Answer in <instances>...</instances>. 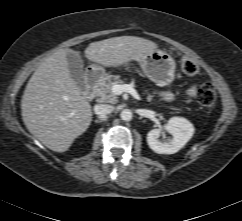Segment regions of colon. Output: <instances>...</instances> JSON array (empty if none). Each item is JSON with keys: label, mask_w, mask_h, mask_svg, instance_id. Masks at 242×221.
Segmentation results:
<instances>
[{"label": "colon", "mask_w": 242, "mask_h": 221, "mask_svg": "<svg viewBox=\"0 0 242 221\" xmlns=\"http://www.w3.org/2000/svg\"><path fill=\"white\" fill-rule=\"evenodd\" d=\"M181 69L187 76H195L199 72L197 63L189 57L181 59ZM196 100L202 107H211L216 101V88L211 82H205L197 90Z\"/></svg>", "instance_id": "colon-1"}]
</instances>
